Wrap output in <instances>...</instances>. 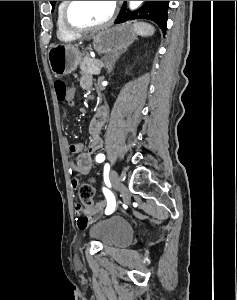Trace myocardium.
I'll return each mask as SVG.
<instances>
[{
    "label": "myocardium",
    "instance_id": "obj_1",
    "mask_svg": "<svg viewBox=\"0 0 237 300\" xmlns=\"http://www.w3.org/2000/svg\"><path fill=\"white\" fill-rule=\"evenodd\" d=\"M75 1H66V4L64 6L63 9V23L64 26L66 27V29L73 33V34H81L83 32H90V31H98V30H102L104 28L109 27L115 20L116 15H117V3L114 2V6H113V10L111 15L109 16V18L107 20H105L104 22L97 24V25H92V26H84V27H78L75 26L71 23L70 21V10L73 6Z\"/></svg>",
    "mask_w": 237,
    "mask_h": 300
}]
</instances>
